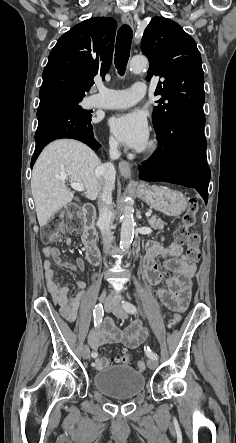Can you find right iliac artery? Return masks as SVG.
<instances>
[{"mask_svg":"<svg viewBox=\"0 0 236 443\" xmlns=\"http://www.w3.org/2000/svg\"><path fill=\"white\" fill-rule=\"evenodd\" d=\"M93 315H94V326L98 327L100 325V323L102 322L103 316H104V310H103V306L101 304H97L95 306V309L93 310ZM92 357L95 358L97 357V352H93Z\"/></svg>","mask_w":236,"mask_h":443,"instance_id":"1","label":"right iliac artery"}]
</instances>
